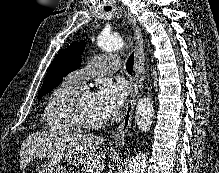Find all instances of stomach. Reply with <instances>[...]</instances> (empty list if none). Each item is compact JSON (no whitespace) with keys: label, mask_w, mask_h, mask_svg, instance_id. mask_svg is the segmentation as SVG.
<instances>
[{"label":"stomach","mask_w":219,"mask_h":173,"mask_svg":"<svg viewBox=\"0 0 219 173\" xmlns=\"http://www.w3.org/2000/svg\"><path fill=\"white\" fill-rule=\"evenodd\" d=\"M41 173H68L59 158L50 157L42 164Z\"/></svg>","instance_id":"1"}]
</instances>
